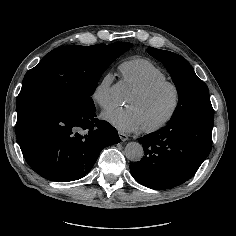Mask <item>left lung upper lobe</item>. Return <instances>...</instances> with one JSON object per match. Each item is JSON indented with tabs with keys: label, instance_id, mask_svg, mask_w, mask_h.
<instances>
[{
	"label": "left lung upper lobe",
	"instance_id": "1",
	"mask_svg": "<svg viewBox=\"0 0 236 236\" xmlns=\"http://www.w3.org/2000/svg\"><path fill=\"white\" fill-rule=\"evenodd\" d=\"M147 51L164 64L178 91V105L168 123L187 119L214 121L208 87L195 74L189 62L173 52L153 47H148Z\"/></svg>",
	"mask_w": 236,
	"mask_h": 236
}]
</instances>
